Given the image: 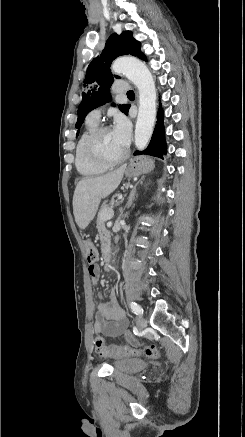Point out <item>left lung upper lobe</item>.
<instances>
[{
	"instance_id": "left-lung-upper-lobe-1",
	"label": "left lung upper lobe",
	"mask_w": 245,
	"mask_h": 437,
	"mask_svg": "<svg viewBox=\"0 0 245 437\" xmlns=\"http://www.w3.org/2000/svg\"><path fill=\"white\" fill-rule=\"evenodd\" d=\"M131 31H124L120 36L112 34L106 42L101 55L92 60L87 68L84 80V92L82 101L78 107V119L76 128H80L86 115L94 108L111 100L110 87L114 77L110 70L111 62L120 55H133L141 57V43L133 38ZM115 78H119L115 76ZM93 85V86H90ZM130 105H119V109L125 114ZM79 132H77V135Z\"/></svg>"
}]
</instances>
